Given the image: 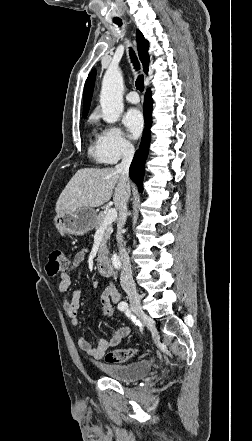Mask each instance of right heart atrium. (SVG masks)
Instances as JSON below:
<instances>
[{
    "mask_svg": "<svg viewBox=\"0 0 252 441\" xmlns=\"http://www.w3.org/2000/svg\"><path fill=\"white\" fill-rule=\"evenodd\" d=\"M98 152L102 162L114 164L120 159L132 157L135 147L118 126L108 125L98 136Z\"/></svg>",
    "mask_w": 252,
    "mask_h": 441,
    "instance_id": "d8ad5b80",
    "label": "right heart atrium"
}]
</instances>
